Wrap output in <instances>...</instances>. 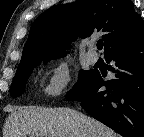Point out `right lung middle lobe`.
I'll return each mask as SVG.
<instances>
[{"instance_id": "right-lung-middle-lobe-1", "label": "right lung middle lobe", "mask_w": 144, "mask_h": 137, "mask_svg": "<svg viewBox=\"0 0 144 137\" xmlns=\"http://www.w3.org/2000/svg\"><path fill=\"white\" fill-rule=\"evenodd\" d=\"M44 60L45 62L50 59H36L30 61L24 65L18 66L16 75L13 79L10 94L13 97H18L24 90L27 79L29 78L32 70ZM95 73V70H81L78 82L67 93L68 100H76L84 91L86 85L91 81Z\"/></svg>"}]
</instances>
